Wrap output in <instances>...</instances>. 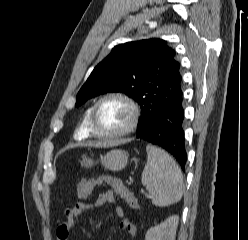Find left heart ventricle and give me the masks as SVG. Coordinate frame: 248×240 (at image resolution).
Wrapping results in <instances>:
<instances>
[{
  "label": "left heart ventricle",
  "mask_w": 248,
  "mask_h": 240,
  "mask_svg": "<svg viewBox=\"0 0 248 240\" xmlns=\"http://www.w3.org/2000/svg\"><path fill=\"white\" fill-rule=\"evenodd\" d=\"M127 106L117 100L103 102L96 114V128L101 133H113L123 129L129 122Z\"/></svg>",
  "instance_id": "1"
}]
</instances>
